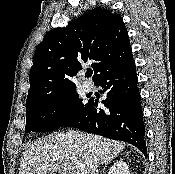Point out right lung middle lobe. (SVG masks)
Segmentation results:
<instances>
[{
    "mask_svg": "<svg viewBox=\"0 0 175 174\" xmlns=\"http://www.w3.org/2000/svg\"><path fill=\"white\" fill-rule=\"evenodd\" d=\"M87 103L75 88L53 93L26 104V132H48L66 126L78 117Z\"/></svg>",
    "mask_w": 175,
    "mask_h": 174,
    "instance_id": "1",
    "label": "right lung middle lobe"
}]
</instances>
